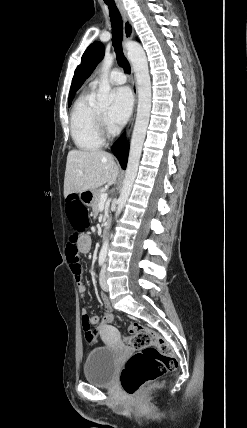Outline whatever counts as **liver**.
Here are the masks:
<instances>
[{"label":"liver","mask_w":247,"mask_h":428,"mask_svg":"<svg viewBox=\"0 0 247 428\" xmlns=\"http://www.w3.org/2000/svg\"><path fill=\"white\" fill-rule=\"evenodd\" d=\"M119 168L111 154L102 150H71L67 155L64 196L113 185Z\"/></svg>","instance_id":"liver-1"}]
</instances>
